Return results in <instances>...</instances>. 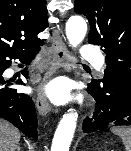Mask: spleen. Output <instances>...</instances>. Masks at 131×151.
Masks as SVG:
<instances>
[{"label": "spleen", "instance_id": "3e777b00", "mask_svg": "<svg viewBox=\"0 0 131 151\" xmlns=\"http://www.w3.org/2000/svg\"><path fill=\"white\" fill-rule=\"evenodd\" d=\"M111 132L121 138L126 151H131V128L112 127Z\"/></svg>", "mask_w": 131, "mask_h": 151}]
</instances>
